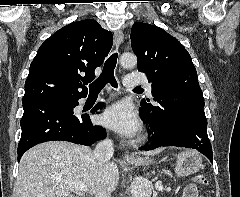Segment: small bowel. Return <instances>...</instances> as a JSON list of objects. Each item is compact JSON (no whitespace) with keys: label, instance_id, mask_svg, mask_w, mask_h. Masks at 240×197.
<instances>
[{"label":"small bowel","instance_id":"small-bowel-1","mask_svg":"<svg viewBox=\"0 0 240 197\" xmlns=\"http://www.w3.org/2000/svg\"><path fill=\"white\" fill-rule=\"evenodd\" d=\"M184 197H200L196 185L194 184L188 185L185 189Z\"/></svg>","mask_w":240,"mask_h":197}]
</instances>
